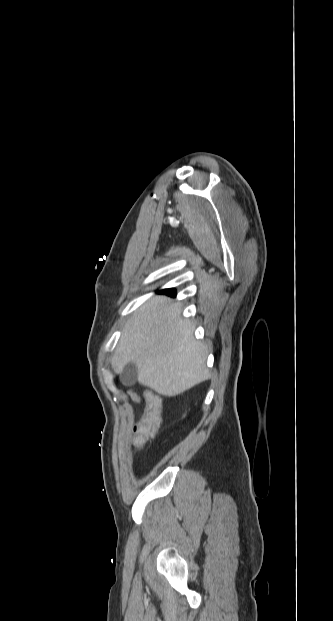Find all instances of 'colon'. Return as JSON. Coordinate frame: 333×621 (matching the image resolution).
<instances>
[{
	"instance_id": "5ec220e1",
	"label": "colon",
	"mask_w": 333,
	"mask_h": 621,
	"mask_svg": "<svg viewBox=\"0 0 333 621\" xmlns=\"http://www.w3.org/2000/svg\"><path fill=\"white\" fill-rule=\"evenodd\" d=\"M162 401L158 394L151 392L141 423L137 428V448L145 449L157 433L161 423Z\"/></svg>"
}]
</instances>
